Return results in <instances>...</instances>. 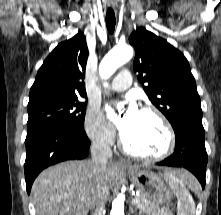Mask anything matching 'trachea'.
<instances>
[{
	"mask_svg": "<svg viewBox=\"0 0 221 215\" xmlns=\"http://www.w3.org/2000/svg\"><path fill=\"white\" fill-rule=\"evenodd\" d=\"M115 24H116V20H115L114 11L111 8H108L107 13H106V25L110 34L114 32Z\"/></svg>",
	"mask_w": 221,
	"mask_h": 215,
	"instance_id": "trachea-1",
	"label": "trachea"
}]
</instances>
